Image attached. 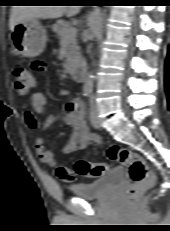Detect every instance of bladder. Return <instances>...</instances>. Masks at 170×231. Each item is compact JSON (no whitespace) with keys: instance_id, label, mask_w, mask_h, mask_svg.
Returning a JSON list of instances; mask_svg holds the SVG:
<instances>
[{"instance_id":"31cf9c89","label":"bladder","mask_w":170,"mask_h":231,"mask_svg":"<svg viewBox=\"0 0 170 231\" xmlns=\"http://www.w3.org/2000/svg\"><path fill=\"white\" fill-rule=\"evenodd\" d=\"M126 178L127 175L124 168H113L104 176L89 183L74 185L70 190L75 196L83 199L101 198L124 183Z\"/></svg>"}]
</instances>
